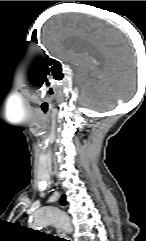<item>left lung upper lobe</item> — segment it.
Here are the masks:
<instances>
[{
	"mask_svg": "<svg viewBox=\"0 0 146 241\" xmlns=\"http://www.w3.org/2000/svg\"><path fill=\"white\" fill-rule=\"evenodd\" d=\"M61 203H62L63 205L66 204V197H65V195L62 197V199H61Z\"/></svg>",
	"mask_w": 146,
	"mask_h": 241,
	"instance_id": "left-lung-upper-lobe-1",
	"label": "left lung upper lobe"
}]
</instances>
